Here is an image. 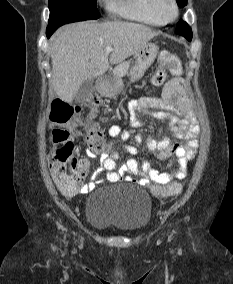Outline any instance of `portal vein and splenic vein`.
Segmentation results:
<instances>
[{
	"label": "portal vein and splenic vein",
	"mask_w": 233,
	"mask_h": 284,
	"mask_svg": "<svg viewBox=\"0 0 233 284\" xmlns=\"http://www.w3.org/2000/svg\"><path fill=\"white\" fill-rule=\"evenodd\" d=\"M112 50H113V48H112L111 46H108V47H106V49H105L106 53H108V54L111 53Z\"/></svg>",
	"instance_id": "obj_1"
}]
</instances>
